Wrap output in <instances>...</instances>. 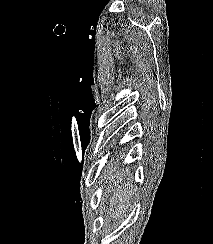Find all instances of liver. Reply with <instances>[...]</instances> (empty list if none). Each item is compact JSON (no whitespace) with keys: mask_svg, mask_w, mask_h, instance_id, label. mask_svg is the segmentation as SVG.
Listing matches in <instances>:
<instances>
[{"mask_svg":"<svg viewBox=\"0 0 213 244\" xmlns=\"http://www.w3.org/2000/svg\"><path fill=\"white\" fill-rule=\"evenodd\" d=\"M109 193L111 196L109 198V208L106 211L108 220L123 219L126 216V211L129 210L135 189L129 181L122 183L114 181L109 184L106 190V194Z\"/></svg>","mask_w":213,"mask_h":244,"instance_id":"1","label":"liver"}]
</instances>
